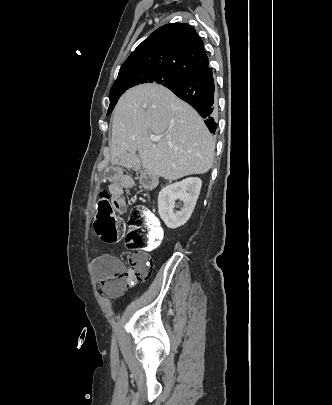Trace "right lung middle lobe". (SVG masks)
I'll return each instance as SVG.
<instances>
[{"label":"right lung middle lobe","mask_w":332,"mask_h":405,"mask_svg":"<svg viewBox=\"0 0 332 405\" xmlns=\"http://www.w3.org/2000/svg\"><path fill=\"white\" fill-rule=\"evenodd\" d=\"M183 78V76L178 74L153 70L133 71L118 76L110 91V105L107 115L112 112L120 96L134 85L153 82L167 87L179 82Z\"/></svg>","instance_id":"dd1d6c3e"}]
</instances>
